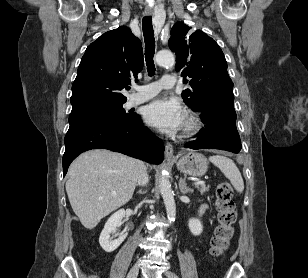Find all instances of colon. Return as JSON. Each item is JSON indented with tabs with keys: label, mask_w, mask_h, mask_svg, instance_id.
I'll list each match as a JSON object with an SVG mask.
<instances>
[{
	"label": "colon",
	"mask_w": 308,
	"mask_h": 278,
	"mask_svg": "<svg viewBox=\"0 0 308 278\" xmlns=\"http://www.w3.org/2000/svg\"><path fill=\"white\" fill-rule=\"evenodd\" d=\"M215 204L218 224L211 240L210 253L213 257H219L229 247L236 221L233 189L229 183L222 182L217 186Z\"/></svg>",
	"instance_id": "obj_1"
}]
</instances>
